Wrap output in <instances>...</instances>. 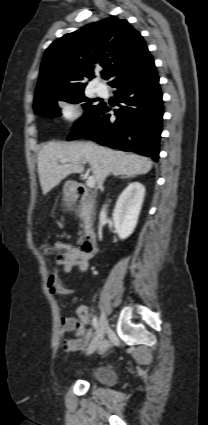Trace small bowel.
<instances>
[{"label": "small bowel", "instance_id": "c3829d8e", "mask_svg": "<svg viewBox=\"0 0 208 425\" xmlns=\"http://www.w3.org/2000/svg\"><path fill=\"white\" fill-rule=\"evenodd\" d=\"M54 248L60 252L56 258V267L49 275L48 289L52 294L68 296L72 290L68 289L60 280V272L70 273L77 268L80 273L88 271L92 255L86 254L81 248L64 242H56ZM77 317H62L60 327L62 332H74V337L63 341V349L66 353L82 351L92 338V331L88 328L90 313L85 305H80Z\"/></svg>", "mask_w": 208, "mask_h": 425}]
</instances>
